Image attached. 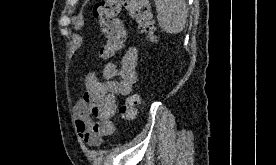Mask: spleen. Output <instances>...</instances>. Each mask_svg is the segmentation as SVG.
Masks as SVG:
<instances>
[{
    "label": "spleen",
    "mask_w": 276,
    "mask_h": 165,
    "mask_svg": "<svg viewBox=\"0 0 276 165\" xmlns=\"http://www.w3.org/2000/svg\"><path fill=\"white\" fill-rule=\"evenodd\" d=\"M161 29L169 34L180 33L187 21L185 0H154Z\"/></svg>",
    "instance_id": "spleen-1"
}]
</instances>
